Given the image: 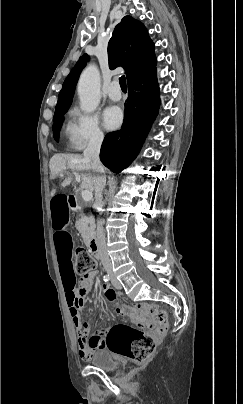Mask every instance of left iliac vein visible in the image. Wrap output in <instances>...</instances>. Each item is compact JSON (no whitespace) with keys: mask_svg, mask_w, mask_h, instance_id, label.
<instances>
[{"mask_svg":"<svg viewBox=\"0 0 243 404\" xmlns=\"http://www.w3.org/2000/svg\"><path fill=\"white\" fill-rule=\"evenodd\" d=\"M111 282L116 289L122 288L121 283L117 280V278L113 273H111Z\"/></svg>","mask_w":243,"mask_h":404,"instance_id":"4c4485c4","label":"left iliac vein"}]
</instances>
